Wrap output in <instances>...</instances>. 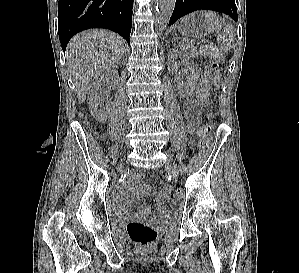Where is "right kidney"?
Instances as JSON below:
<instances>
[{
	"instance_id": "obj_1",
	"label": "right kidney",
	"mask_w": 299,
	"mask_h": 273,
	"mask_svg": "<svg viewBox=\"0 0 299 273\" xmlns=\"http://www.w3.org/2000/svg\"><path fill=\"white\" fill-rule=\"evenodd\" d=\"M119 75L115 70L105 71L97 75L95 79L90 83L88 88V101L89 109L93 117L104 122L107 119L108 110L111 104V99L109 97V92L101 96V86L107 83H115L118 81Z\"/></svg>"
}]
</instances>
